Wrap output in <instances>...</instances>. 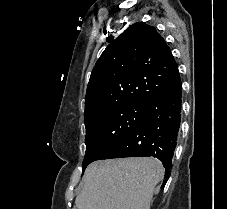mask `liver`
I'll return each mask as SVG.
<instances>
[{
	"label": "liver",
	"mask_w": 227,
	"mask_h": 209,
	"mask_svg": "<svg viewBox=\"0 0 227 209\" xmlns=\"http://www.w3.org/2000/svg\"><path fill=\"white\" fill-rule=\"evenodd\" d=\"M163 175L153 157L95 161L88 165L77 209H150L153 191Z\"/></svg>",
	"instance_id": "6515ba94"
}]
</instances>
